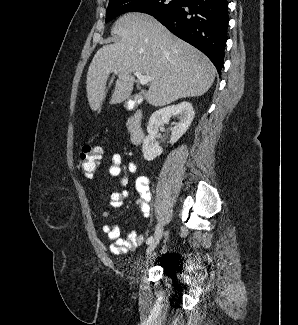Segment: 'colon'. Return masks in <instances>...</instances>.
I'll return each instance as SVG.
<instances>
[{
    "mask_svg": "<svg viewBox=\"0 0 298 325\" xmlns=\"http://www.w3.org/2000/svg\"><path fill=\"white\" fill-rule=\"evenodd\" d=\"M101 157L102 149L98 146L86 144L80 149L78 167L87 178H91L94 175Z\"/></svg>",
    "mask_w": 298,
    "mask_h": 325,
    "instance_id": "obj_1",
    "label": "colon"
}]
</instances>
